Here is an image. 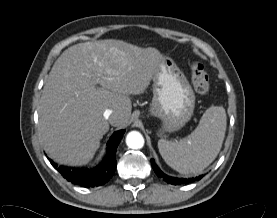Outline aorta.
Listing matches in <instances>:
<instances>
[{
    "label": "aorta",
    "mask_w": 277,
    "mask_h": 218,
    "mask_svg": "<svg viewBox=\"0 0 277 218\" xmlns=\"http://www.w3.org/2000/svg\"><path fill=\"white\" fill-rule=\"evenodd\" d=\"M126 144L131 149H140L144 145V138L141 133L137 131H131L127 134Z\"/></svg>",
    "instance_id": "obj_1"
}]
</instances>
